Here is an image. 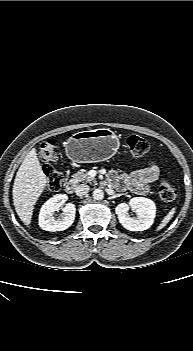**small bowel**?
I'll list each match as a JSON object with an SVG mask.
<instances>
[{
    "label": "small bowel",
    "mask_w": 193,
    "mask_h": 351,
    "mask_svg": "<svg viewBox=\"0 0 193 351\" xmlns=\"http://www.w3.org/2000/svg\"><path fill=\"white\" fill-rule=\"evenodd\" d=\"M160 174L156 163L150 162L145 168L130 174L114 173L111 182L116 187L127 189L137 194H146L149 186L158 179Z\"/></svg>",
    "instance_id": "1"
}]
</instances>
